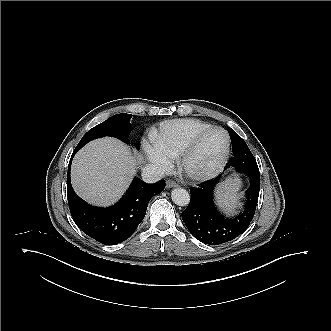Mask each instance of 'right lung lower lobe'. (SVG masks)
Instances as JSON below:
<instances>
[{"mask_svg":"<svg viewBox=\"0 0 331 331\" xmlns=\"http://www.w3.org/2000/svg\"><path fill=\"white\" fill-rule=\"evenodd\" d=\"M68 166L67 195L71 215L77 226L102 244L114 245L128 239L143 220L149 200L165 188V181L148 184L135 177L122 199L114 206L99 208L87 204L73 190Z\"/></svg>","mask_w":331,"mask_h":331,"instance_id":"98d812e1","label":"right lung lower lobe"}]
</instances>
